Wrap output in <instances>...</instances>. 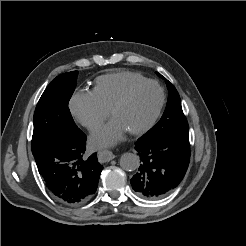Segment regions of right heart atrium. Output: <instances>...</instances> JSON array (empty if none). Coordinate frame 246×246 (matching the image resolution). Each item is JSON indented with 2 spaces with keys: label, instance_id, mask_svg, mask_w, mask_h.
<instances>
[{
  "label": "right heart atrium",
  "instance_id": "right-heart-atrium-1",
  "mask_svg": "<svg viewBox=\"0 0 246 246\" xmlns=\"http://www.w3.org/2000/svg\"><path fill=\"white\" fill-rule=\"evenodd\" d=\"M69 110L75 121L88 130L98 128L109 116V111L97 102L92 92L85 90L72 95Z\"/></svg>",
  "mask_w": 246,
  "mask_h": 246
}]
</instances>
